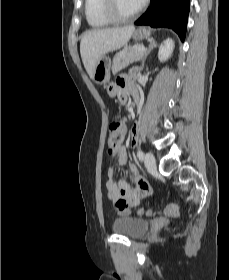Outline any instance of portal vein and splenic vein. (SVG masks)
Wrapping results in <instances>:
<instances>
[{
  "instance_id": "1",
  "label": "portal vein and splenic vein",
  "mask_w": 229,
  "mask_h": 280,
  "mask_svg": "<svg viewBox=\"0 0 229 280\" xmlns=\"http://www.w3.org/2000/svg\"><path fill=\"white\" fill-rule=\"evenodd\" d=\"M137 51L141 52V53H144L146 51V48L143 47V46H140V47L137 48Z\"/></svg>"
}]
</instances>
